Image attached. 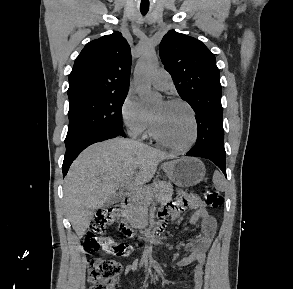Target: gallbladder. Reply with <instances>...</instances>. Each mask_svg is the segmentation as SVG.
I'll use <instances>...</instances> for the list:
<instances>
[{
	"instance_id": "gallbladder-1",
	"label": "gallbladder",
	"mask_w": 293,
	"mask_h": 289,
	"mask_svg": "<svg viewBox=\"0 0 293 289\" xmlns=\"http://www.w3.org/2000/svg\"><path fill=\"white\" fill-rule=\"evenodd\" d=\"M122 199L120 194H115L112 197H110V199L105 203V205H111L114 203L119 202Z\"/></svg>"
}]
</instances>
